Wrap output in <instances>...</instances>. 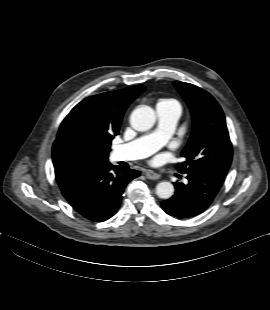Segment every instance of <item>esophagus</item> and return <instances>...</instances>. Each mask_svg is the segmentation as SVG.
I'll return each mask as SVG.
<instances>
[{
  "instance_id": "obj_1",
  "label": "esophagus",
  "mask_w": 270,
  "mask_h": 310,
  "mask_svg": "<svg viewBox=\"0 0 270 310\" xmlns=\"http://www.w3.org/2000/svg\"><path fill=\"white\" fill-rule=\"evenodd\" d=\"M145 175L148 179H151V180H157V179H160L161 177L158 173H155L153 171H147Z\"/></svg>"
}]
</instances>
